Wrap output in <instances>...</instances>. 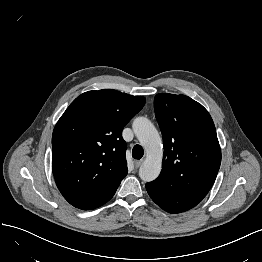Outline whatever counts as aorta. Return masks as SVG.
<instances>
[{
    "label": "aorta",
    "mask_w": 262,
    "mask_h": 262,
    "mask_svg": "<svg viewBox=\"0 0 262 262\" xmlns=\"http://www.w3.org/2000/svg\"><path fill=\"white\" fill-rule=\"evenodd\" d=\"M132 128L146 152V159L139 168V176L143 181L151 182L159 176L162 169L163 149L160 135L145 117H137Z\"/></svg>",
    "instance_id": "1"
}]
</instances>
